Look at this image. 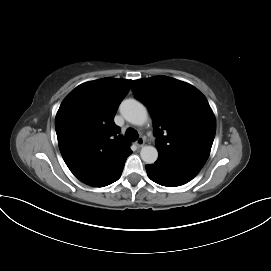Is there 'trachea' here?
I'll return each instance as SVG.
<instances>
[{"instance_id":"1","label":"trachea","mask_w":271,"mask_h":271,"mask_svg":"<svg viewBox=\"0 0 271 271\" xmlns=\"http://www.w3.org/2000/svg\"><path fill=\"white\" fill-rule=\"evenodd\" d=\"M125 136L128 141H136L139 135L135 129L129 128L126 130Z\"/></svg>"}]
</instances>
